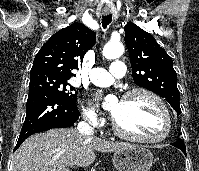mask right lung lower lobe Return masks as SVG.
<instances>
[{
    "label": "right lung lower lobe",
    "mask_w": 199,
    "mask_h": 171,
    "mask_svg": "<svg viewBox=\"0 0 199 171\" xmlns=\"http://www.w3.org/2000/svg\"><path fill=\"white\" fill-rule=\"evenodd\" d=\"M78 118L76 106L58 95L47 90L29 93L25 121L14 151L30 135L52 128L70 127Z\"/></svg>",
    "instance_id": "right-lung-lower-lobe-1"
}]
</instances>
